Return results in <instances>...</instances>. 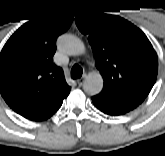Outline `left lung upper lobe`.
Listing matches in <instances>:
<instances>
[{
    "label": "left lung upper lobe",
    "mask_w": 165,
    "mask_h": 156,
    "mask_svg": "<svg viewBox=\"0 0 165 156\" xmlns=\"http://www.w3.org/2000/svg\"><path fill=\"white\" fill-rule=\"evenodd\" d=\"M76 25L88 35L95 65L104 79L99 95L131 111L147 97L158 72V58L146 35L127 20L90 12Z\"/></svg>",
    "instance_id": "1"
}]
</instances>
